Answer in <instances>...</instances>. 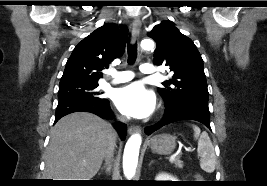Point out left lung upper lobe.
Masks as SVG:
<instances>
[{
    "label": "left lung upper lobe",
    "instance_id": "5c2ea615",
    "mask_svg": "<svg viewBox=\"0 0 267 186\" xmlns=\"http://www.w3.org/2000/svg\"><path fill=\"white\" fill-rule=\"evenodd\" d=\"M156 43L154 64L166 65L174 72L158 88L166 109L196 103L208 106L209 93L202 57L193 41L183 35L172 21H162L148 33Z\"/></svg>",
    "mask_w": 267,
    "mask_h": 186
}]
</instances>
